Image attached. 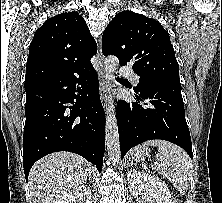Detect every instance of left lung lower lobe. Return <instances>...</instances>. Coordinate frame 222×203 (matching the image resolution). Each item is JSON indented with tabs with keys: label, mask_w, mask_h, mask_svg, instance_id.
I'll return each mask as SVG.
<instances>
[{
	"label": "left lung lower lobe",
	"mask_w": 222,
	"mask_h": 203,
	"mask_svg": "<svg viewBox=\"0 0 222 203\" xmlns=\"http://www.w3.org/2000/svg\"><path fill=\"white\" fill-rule=\"evenodd\" d=\"M135 92L136 102L120 100L117 103L121 159L132 147L153 139L172 142L193 158L181 85L150 83Z\"/></svg>",
	"instance_id": "left-lung-lower-lobe-1"
}]
</instances>
